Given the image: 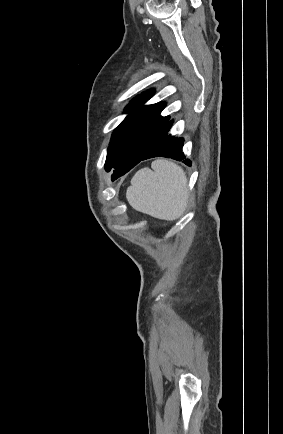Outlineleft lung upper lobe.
<instances>
[{"instance_id":"5c2ea615","label":"left lung upper lobe","mask_w":283,"mask_h":434,"mask_svg":"<svg viewBox=\"0 0 283 434\" xmlns=\"http://www.w3.org/2000/svg\"><path fill=\"white\" fill-rule=\"evenodd\" d=\"M154 94L153 90L137 96L125 108L128 116L114 130L108 147L105 169L140 158L169 121L162 117L165 102L143 106Z\"/></svg>"}]
</instances>
